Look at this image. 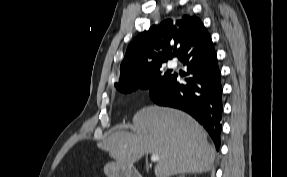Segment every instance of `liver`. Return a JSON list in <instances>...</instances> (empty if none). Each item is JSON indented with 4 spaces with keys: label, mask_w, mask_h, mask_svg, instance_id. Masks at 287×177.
Masks as SVG:
<instances>
[{
    "label": "liver",
    "mask_w": 287,
    "mask_h": 177,
    "mask_svg": "<svg viewBox=\"0 0 287 177\" xmlns=\"http://www.w3.org/2000/svg\"><path fill=\"white\" fill-rule=\"evenodd\" d=\"M134 133L118 130L99 144L117 162L132 166L145 154H158L156 177L211 170L215 149L205 130L188 114L158 106L133 117Z\"/></svg>",
    "instance_id": "obj_1"
}]
</instances>
